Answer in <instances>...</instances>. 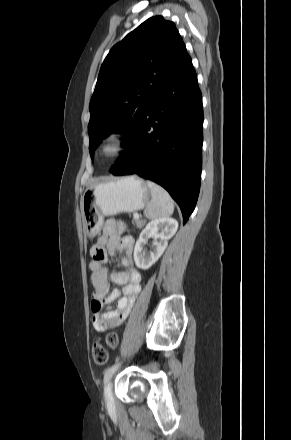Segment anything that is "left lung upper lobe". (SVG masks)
I'll use <instances>...</instances> for the list:
<instances>
[{
	"instance_id": "1",
	"label": "left lung upper lobe",
	"mask_w": 291,
	"mask_h": 440,
	"mask_svg": "<svg viewBox=\"0 0 291 440\" xmlns=\"http://www.w3.org/2000/svg\"><path fill=\"white\" fill-rule=\"evenodd\" d=\"M186 54L175 24L161 16L149 18L112 47L89 105L91 158L110 133L125 135L126 147L151 98Z\"/></svg>"
}]
</instances>
